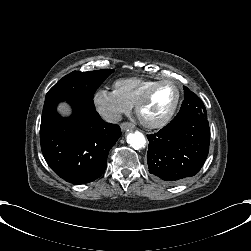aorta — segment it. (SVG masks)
<instances>
[{
	"instance_id": "762f6f07",
	"label": "aorta",
	"mask_w": 251,
	"mask_h": 251,
	"mask_svg": "<svg viewBox=\"0 0 251 251\" xmlns=\"http://www.w3.org/2000/svg\"><path fill=\"white\" fill-rule=\"evenodd\" d=\"M126 142L134 149H142L145 146L146 140L143 132L132 130L126 135Z\"/></svg>"
}]
</instances>
